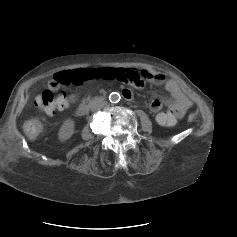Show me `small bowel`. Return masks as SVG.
Masks as SVG:
<instances>
[{
	"label": "small bowel",
	"instance_id": "small-bowel-1",
	"mask_svg": "<svg viewBox=\"0 0 237 237\" xmlns=\"http://www.w3.org/2000/svg\"><path fill=\"white\" fill-rule=\"evenodd\" d=\"M144 73V80L149 81L155 85L164 84L165 90L170 94V97L163 95H156L150 103L149 109L152 113L157 114L161 111L163 106H167V112L175 119L183 117L191 105L190 100L182 93L177 83L173 80L165 81V76L162 73L142 70ZM79 97V93H73L65 97V105L68 107L75 102Z\"/></svg>",
	"mask_w": 237,
	"mask_h": 237
}]
</instances>
